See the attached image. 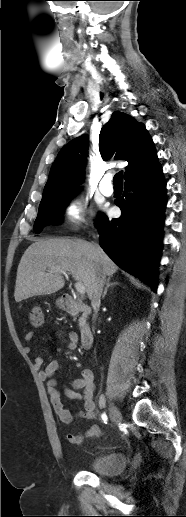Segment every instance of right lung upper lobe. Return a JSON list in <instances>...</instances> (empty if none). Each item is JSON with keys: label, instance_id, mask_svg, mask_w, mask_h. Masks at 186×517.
Listing matches in <instances>:
<instances>
[{"label": "right lung upper lobe", "instance_id": "1", "mask_svg": "<svg viewBox=\"0 0 186 517\" xmlns=\"http://www.w3.org/2000/svg\"><path fill=\"white\" fill-rule=\"evenodd\" d=\"M87 137L79 136L59 152L43 192V199L74 193L81 183L87 155ZM103 159L115 156L125 160V180L157 162V155L145 126L122 112H114L99 135Z\"/></svg>", "mask_w": 186, "mask_h": 517}]
</instances>
